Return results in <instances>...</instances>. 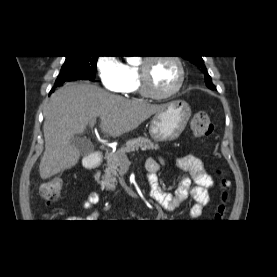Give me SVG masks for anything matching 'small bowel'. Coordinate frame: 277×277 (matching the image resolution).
Here are the masks:
<instances>
[{
    "label": "small bowel",
    "mask_w": 277,
    "mask_h": 277,
    "mask_svg": "<svg viewBox=\"0 0 277 277\" xmlns=\"http://www.w3.org/2000/svg\"><path fill=\"white\" fill-rule=\"evenodd\" d=\"M176 166L187 172L188 176L182 178L173 194L164 192L158 183L157 172L159 163L154 158L146 162L147 183L151 198L168 211L175 210L182 202L192 197L195 204L190 209V217L197 219L202 215L204 207L209 203V190L213 187L214 181L206 172L202 161L194 155H185L176 160ZM101 201L97 192L89 193L82 201L83 208L90 211L88 220H96L99 213L96 205Z\"/></svg>",
    "instance_id": "obj_1"
}]
</instances>
